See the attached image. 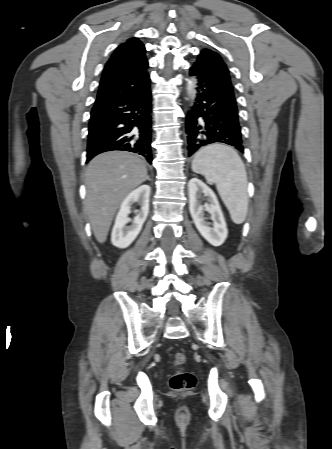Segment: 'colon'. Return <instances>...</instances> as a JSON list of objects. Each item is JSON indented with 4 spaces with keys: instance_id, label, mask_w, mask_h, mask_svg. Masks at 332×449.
<instances>
[{
    "instance_id": "obj_1",
    "label": "colon",
    "mask_w": 332,
    "mask_h": 449,
    "mask_svg": "<svg viewBox=\"0 0 332 449\" xmlns=\"http://www.w3.org/2000/svg\"><path fill=\"white\" fill-rule=\"evenodd\" d=\"M186 357L183 353L177 352L173 355V364L181 366L185 363ZM196 382L193 373L188 371H176L170 378V387L174 391L182 392L190 390Z\"/></svg>"
}]
</instances>
